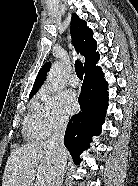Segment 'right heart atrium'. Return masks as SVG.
I'll return each instance as SVG.
<instances>
[{"label":"right heart atrium","instance_id":"d8ad5b80","mask_svg":"<svg viewBox=\"0 0 138 186\" xmlns=\"http://www.w3.org/2000/svg\"><path fill=\"white\" fill-rule=\"evenodd\" d=\"M40 121L47 135L63 130L68 118L62 109V98L58 93L45 89L40 94Z\"/></svg>","mask_w":138,"mask_h":186}]
</instances>
